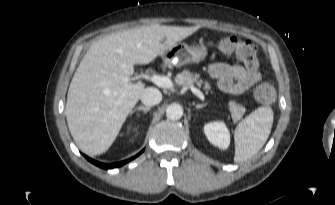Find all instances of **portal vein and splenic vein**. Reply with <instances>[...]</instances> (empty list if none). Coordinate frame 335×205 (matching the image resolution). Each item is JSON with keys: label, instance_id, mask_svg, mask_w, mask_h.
Masks as SVG:
<instances>
[{"label": "portal vein and splenic vein", "instance_id": "1", "mask_svg": "<svg viewBox=\"0 0 335 205\" xmlns=\"http://www.w3.org/2000/svg\"><path fill=\"white\" fill-rule=\"evenodd\" d=\"M150 80L154 84H156L157 86L162 87V88L173 87V81L166 76L152 75V76H150ZM189 88L192 91V93H194L201 100H204V98H205L204 94L198 88L194 87L193 85H190Z\"/></svg>", "mask_w": 335, "mask_h": 205}]
</instances>
